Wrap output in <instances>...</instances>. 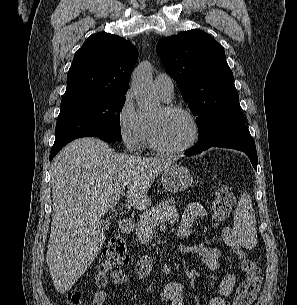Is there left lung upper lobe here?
<instances>
[{"label": "left lung upper lobe", "mask_w": 297, "mask_h": 305, "mask_svg": "<svg viewBox=\"0 0 297 305\" xmlns=\"http://www.w3.org/2000/svg\"><path fill=\"white\" fill-rule=\"evenodd\" d=\"M157 52L196 116L200 137L214 142L245 123L222 46L209 34L190 30L161 39Z\"/></svg>", "instance_id": "left-lung-upper-lobe-1"}]
</instances>
